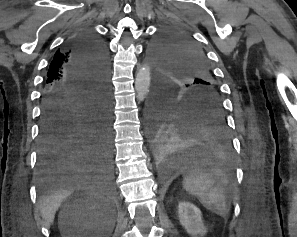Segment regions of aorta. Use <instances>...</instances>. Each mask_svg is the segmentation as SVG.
Here are the masks:
<instances>
[{
	"mask_svg": "<svg viewBox=\"0 0 297 237\" xmlns=\"http://www.w3.org/2000/svg\"><path fill=\"white\" fill-rule=\"evenodd\" d=\"M151 83L150 68L148 65H142L135 77V91L139 101H143L148 94Z\"/></svg>",
	"mask_w": 297,
	"mask_h": 237,
	"instance_id": "aorta-1",
	"label": "aorta"
}]
</instances>
